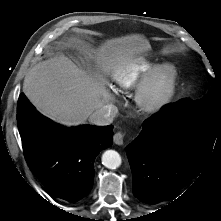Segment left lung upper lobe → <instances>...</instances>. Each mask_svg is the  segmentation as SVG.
<instances>
[{
  "mask_svg": "<svg viewBox=\"0 0 221 221\" xmlns=\"http://www.w3.org/2000/svg\"><path fill=\"white\" fill-rule=\"evenodd\" d=\"M221 94L211 89L207 96L200 100H186L182 103L180 115L184 118L212 123H221Z\"/></svg>",
  "mask_w": 221,
  "mask_h": 221,
  "instance_id": "5c2ea615",
  "label": "left lung upper lobe"
}]
</instances>
